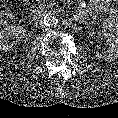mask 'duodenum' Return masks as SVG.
Masks as SVG:
<instances>
[{
    "label": "duodenum",
    "instance_id": "duodenum-1",
    "mask_svg": "<svg viewBox=\"0 0 118 118\" xmlns=\"http://www.w3.org/2000/svg\"><path fill=\"white\" fill-rule=\"evenodd\" d=\"M40 14H41V11H40L39 9H36V10L34 11V15H35V16H40Z\"/></svg>",
    "mask_w": 118,
    "mask_h": 118
}]
</instances>
